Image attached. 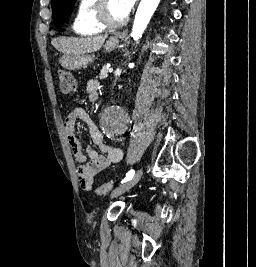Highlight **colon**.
I'll return each instance as SVG.
<instances>
[{
    "mask_svg": "<svg viewBox=\"0 0 256 267\" xmlns=\"http://www.w3.org/2000/svg\"><path fill=\"white\" fill-rule=\"evenodd\" d=\"M60 89L66 95H72L77 89V81L71 72L63 70L59 73ZM114 182H105L95 188V193L99 196H104L113 191Z\"/></svg>",
    "mask_w": 256,
    "mask_h": 267,
    "instance_id": "colon-1",
    "label": "colon"
}]
</instances>
